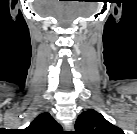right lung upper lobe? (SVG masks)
<instances>
[{
	"label": "right lung upper lobe",
	"instance_id": "1",
	"mask_svg": "<svg viewBox=\"0 0 137 134\" xmlns=\"http://www.w3.org/2000/svg\"><path fill=\"white\" fill-rule=\"evenodd\" d=\"M62 131L49 113L39 114L30 125L23 130L25 134H57Z\"/></svg>",
	"mask_w": 137,
	"mask_h": 134
}]
</instances>
